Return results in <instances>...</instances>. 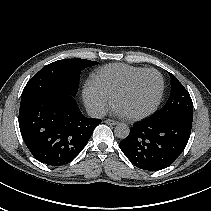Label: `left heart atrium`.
Here are the masks:
<instances>
[{
  "label": "left heart atrium",
  "mask_w": 211,
  "mask_h": 211,
  "mask_svg": "<svg viewBox=\"0 0 211 211\" xmlns=\"http://www.w3.org/2000/svg\"><path fill=\"white\" fill-rule=\"evenodd\" d=\"M113 111L115 114L121 115V116H125V113L122 111V109L120 107H118L117 105H115L113 107Z\"/></svg>",
  "instance_id": "39dd6f15"
}]
</instances>
